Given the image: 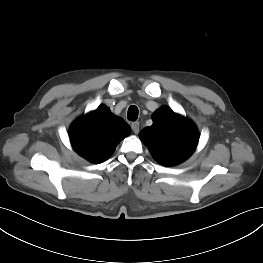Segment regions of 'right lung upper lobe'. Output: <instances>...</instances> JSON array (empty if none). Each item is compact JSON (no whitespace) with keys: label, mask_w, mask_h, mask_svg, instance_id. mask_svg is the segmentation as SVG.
Here are the masks:
<instances>
[{"label":"right lung upper lobe","mask_w":263,"mask_h":263,"mask_svg":"<svg viewBox=\"0 0 263 263\" xmlns=\"http://www.w3.org/2000/svg\"><path fill=\"white\" fill-rule=\"evenodd\" d=\"M130 134V126L114 116L106 106L76 120L69 137L74 150L92 163H101L114 152L116 145Z\"/></svg>","instance_id":"1"}]
</instances>
